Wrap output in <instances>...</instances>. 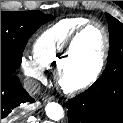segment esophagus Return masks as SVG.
<instances>
[{
  "instance_id": "esophagus-1",
  "label": "esophagus",
  "mask_w": 123,
  "mask_h": 123,
  "mask_svg": "<svg viewBox=\"0 0 123 123\" xmlns=\"http://www.w3.org/2000/svg\"><path fill=\"white\" fill-rule=\"evenodd\" d=\"M42 100H43L44 103H47L49 101L54 100V97L50 96V95H45Z\"/></svg>"
}]
</instances>
